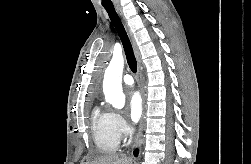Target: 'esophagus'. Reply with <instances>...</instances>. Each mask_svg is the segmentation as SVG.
<instances>
[{"instance_id":"esophagus-1","label":"esophagus","mask_w":251,"mask_h":164,"mask_svg":"<svg viewBox=\"0 0 251 164\" xmlns=\"http://www.w3.org/2000/svg\"><path fill=\"white\" fill-rule=\"evenodd\" d=\"M116 9H117L120 17L122 18L123 25L125 27V30H126L128 36H129V39H130V42L132 44V48L134 51V55L137 60V79H138L140 94H141V98H142V115H141V119H140L139 130L136 135L135 142H134L135 146H138V145H140L141 140H142L143 129H144V124H145V112H146L145 94H144V88H143L142 77H141V60H140V54H139V50H138L136 41L134 39V36H133L130 28L128 27L126 20L123 18L122 12L117 4H116Z\"/></svg>"}]
</instances>
